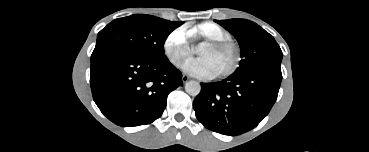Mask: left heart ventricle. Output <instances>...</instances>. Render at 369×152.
Masks as SVG:
<instances>
[{"mask_svg":"<svg viewBox=\"0 0 369 152\" xmlns=\"http://www.w3.org/2000/svg\"><path fill=\"white\" fill-rule=\"evenodd\" d=\"M199 58L209 62L214 74L227 70L234 61V51L231 48L209 49L201 47Z\"/></svg>","mask_w":369,"mask_h":152,"instance_id":"1","label":"left heart ventricle"}]
</instances>
